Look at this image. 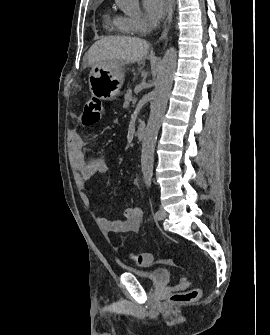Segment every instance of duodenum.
<instances>
[{
  "label": "duodenum",
  "mask_w": 270,
  "mask_h": 335,
  "mask_svg": "<svg viewBox=\"0 0 270 335\" xmlns=\"http://www.w3.org/2000/svg\"><path fill=\"white\" fill-rule=\"evenodd\" d=\"M135 136L138 140L142 141L144 139L145 136V124L144 123H140L135 131Z\"/></svg>",
  "instance_id": "duodenum-1"
}]
</instances>
